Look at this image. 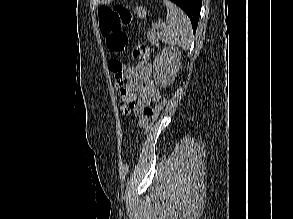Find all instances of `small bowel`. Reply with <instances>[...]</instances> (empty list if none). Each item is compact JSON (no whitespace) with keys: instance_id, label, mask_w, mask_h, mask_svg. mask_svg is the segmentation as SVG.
Instances as JSON below:
<instances>
[{"instance_id":"small-bowel-1","label":"small bowel","mask_w":293,"mask_h":219,"mask_svg":"<svg viewBox=\"0 0 293 219\" xmlns=\"http://www.w3.org/2000/svg\"><path fill=\"white\" fill-rule=\"evenodd\" d=\"M151 74V63L148 60H142L134 67L128 68L123 73L120 83H117L124 114L134 112L142 128L149 125L152 104L161 98L160 91L151 80Z\"/></svg>"}]
</instances>
